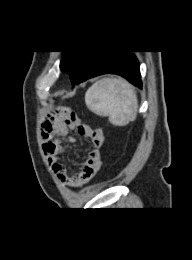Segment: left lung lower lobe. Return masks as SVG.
Listing matches in <instances>:
<instances>
[{
	"label": "left lung lower lobe",
	"instance_id": "left-lung-lower-lobe-1",
	"mask_svg": "<svg viewBox=\"0 0 192 260\" xmlns=\"http://www.w3.org/2000/svg\"><path fill=\"white\" fill-rule=\"evenodd\" d=\"M106 73L118 74L126 78L133 85L139 88L142 87L138 60L136 59L135 55L129 53V51H98L90 61L88 68L82 76L80 82Z\"/></svg>",
	"mask_w": 192,
	"mask_h": 260
}]
</instances>
